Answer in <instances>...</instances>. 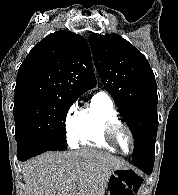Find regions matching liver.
Here are the masks:
<instances>
[{
	"instance_id": "obj_1",
	"label": "liver",
	"mask_w": 178,
	"mask_h": 195,
	"mask_svg": "<svg viewBox=\"0 0 178 195\" xmlns=\"http://www.w3.org/2000/svg\"><path fill=\"white\" fill-rule=\"evenodd\" d=\"M122 158L93 149L47 152L22 166L24 195H104L116 169H126Z\"/></svg>"
}]
</instances>
